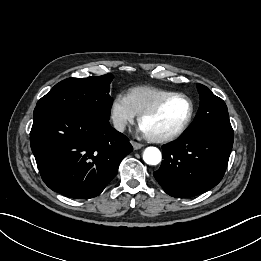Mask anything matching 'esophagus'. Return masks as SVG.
<instances>
[{"instance_id":"esophagus-1","label":"esophagus","mask_w":261,"mask_h":261,"mask_svg":"<svg viewBox=\"0 0 261 261\" xmlns=\"http://www.w3.org/2000/svg\"><path fill=\"white\" fill-rule=\"evenodd\" d=\"M131 144H132L134 150H138V149H141L143 147V145L141 143H138L136 141H131Z\"/></svg>"}]
</instances>
